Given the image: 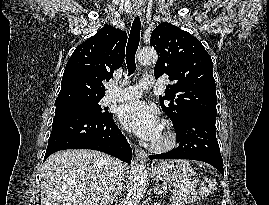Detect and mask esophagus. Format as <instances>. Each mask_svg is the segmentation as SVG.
<instances>
[{"label": "esophagus", "instance_id": "esophagus-1", "mask_svg": "<svg viewBox=\"0 0 269 205\" xmlns=\"http://www.w3.org/2000/svg\"><path fill=\"white\" fill-rule=\"evenodd\" d=\"M134 14L137 16H140L142 14V8L138 6L135 7ZM135 155L137 158L143 159L146 157V152L143 149H135Z\"/></svg>", "mask_w": 269, "mask_h": 205}]
</instances>
